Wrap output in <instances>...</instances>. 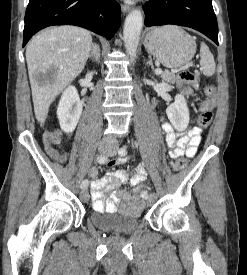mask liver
I'll return each mask as SVG.
<instances>
[{
  "label": "liver",
  "instance_id": "obj_1",
  "mask_svg": "<svg viewBox=\"0 0 247 275\" xmlns=\"http://www.w3.org/2000/svg\"><path fill=\"white\" fill-rule=\"evenodd\" d=\"M92 47L91 33L63 25L36 35L27 45L26 61L37 121L44 124L49 107L61 91L84 69ZM56 70L53 81L39 82L36 74Z\"/></svg>",
  "mask_w": 247,
  "mask_h": 275
}]
</instances>
